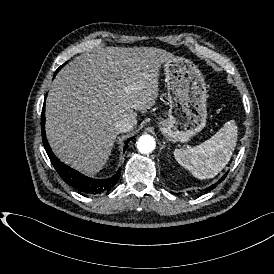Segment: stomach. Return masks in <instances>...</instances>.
<instances>
[{
	"label": "stomach",
	"mask_w": 274,
	"mask_h": 274,
	"mask_svg": "<svg viewBox=\"0 0 274 274\" xmlns=\"http://www.w3.org/2000/svg\"><path fill=\"white\" fill-rule=\"evenodd\" d=\"M170 109L158 123L172 142H188L206 126L207 89L204 76L190 60L173 56L163 64Z\"/></svg>",
	"instance_id": "stomach-1"
}]
</instances>
